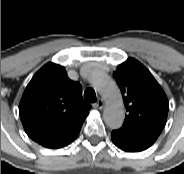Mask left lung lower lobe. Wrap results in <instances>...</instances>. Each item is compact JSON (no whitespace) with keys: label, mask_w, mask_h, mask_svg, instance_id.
I'll return each mask as SVG.
<instances>
[{"label":"left lung lower lobe","mask_w":184,"mask_h":174,"mask_svg":"<svg viewBox=\"0 0 184 174\" xmlns=\"http://www.w3.org/2000/svg\"><path fill=\"white\" fill-rule=\"evenodd\" d=\"M111 138L118 148L126 152L143 151L149 148L157 139L154 136L135 132L124 127L113 130Z\"/></svg>","instance_id":"obj_1"}]
</instances>
